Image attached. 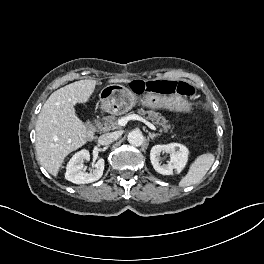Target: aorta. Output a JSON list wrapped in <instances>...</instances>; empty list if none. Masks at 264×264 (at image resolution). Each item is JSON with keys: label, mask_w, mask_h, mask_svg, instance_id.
Here are the masks:
<instances>
[{"label": "aorta", "mask_w": 264, "mask_h": 264, "mask_svg": "<svg viewBox=\"0 0 264 264\" xmlns=\"http://www.w3.org/2000/svg\"><path fill=\"white\" fill-rule=\"evenodd\" d=\"M128 142L133 146H141L144 142V136L139 130H132L128 134Z\"/></svg>", "instance_id": "obj_1"}]
</instances>
